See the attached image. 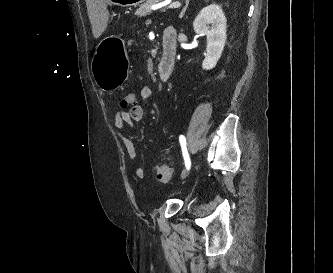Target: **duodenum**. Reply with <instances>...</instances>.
<instances>
[{
    "instance_id": "410a0bca",
    "label": "duodenum",
    "mask_w": 333,
    "mask_h": 273,
    "mask_svg": "<svg viewBox=\"0 0 333 273\" xmlns=\"http://www.w3.org/2000/svg\"><path fill=\"white\" fill-rule=\"evenodd\" d=\"M177 31L173 27H167L163 33L162 53L157 65V73L162 82L170 79L176 62Z\"/></svg>"
}]
</instances>
